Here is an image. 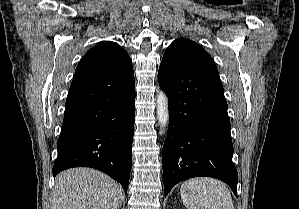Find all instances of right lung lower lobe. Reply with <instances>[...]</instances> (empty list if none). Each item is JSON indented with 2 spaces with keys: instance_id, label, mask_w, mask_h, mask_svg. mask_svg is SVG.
I'll use <instances>...</instances> for the list:
<instances>
[{
  "instance_id": "right-lung-lower-lobe-1",
  "label": "right lung lower lobe",
  "mask_w": 299,
  "mask_h": 209,
  "mask_svg": "<svg viewBox=\"0 0 299 209\" xmlns=\"http://www.w3.org/2000/svg\"><path fill=\"white\" fill-rule=\"evenodd\" d=\"M135 79L114 71L75 74L66 100L53 175L92 167L127 192L135 121Z\"/></svg>"
}]
</instances>
